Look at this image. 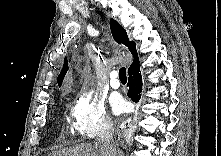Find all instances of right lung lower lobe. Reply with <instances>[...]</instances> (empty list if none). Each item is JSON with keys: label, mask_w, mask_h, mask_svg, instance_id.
<instances>
[{"label": "right lung lower lobe", "mask_w": 221, "mask_h": 156, "mask_svg": "<svg viewBox=\"0 0 221 156\" xmlns=\"http://www.w3.org/2000/svg\"><path fill=\"white\" fill-rule=\"evenodd\" d=\"M128 96L134 101L138 102L141 98L142 92V77L140 73V66L132 67L128 70Z\"/></svg>", "instance_id": "obj_1"}]
</instances>
